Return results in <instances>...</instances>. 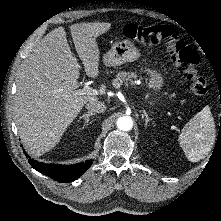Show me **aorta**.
<instances>
[{
	"label": "aorta",
	"instance_id": "762f6f07",
	"mask_svg": "<svg viewBox=\"0 0 221 221\" xmlns=\"http://www.w3.org/2000/svg\"><path fill=\"white\" fill-rule=\"evenodd\" d=\"M133 121L130 116H122L117 120V127L122 131H129L132 129Z\"/></svg>",
	"mask_w": 221,
	"mask_h": 221
}]
</instances>
